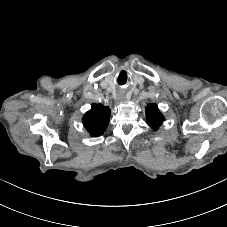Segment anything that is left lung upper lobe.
Listing matches in <instances>:
<instances>
[{
	"mask_svg": "<svg viewBox=\"0 0 227 227\" xmlns=\"http://www.w3.org/2000/svg\"><path fill=\"white\" fill-rule=\"evenodd\" d=\"M145 113L147 124L153 129H157L164 121V116L161 114L157 105L154 103L147 105Z\"/></svg>",
	"mask_w": 227,
	"mask_h": 227,
	"instance_id": "left-lung-upper-lobe-1",
	"label": "left lung upper lobe"
}]
</instances>
